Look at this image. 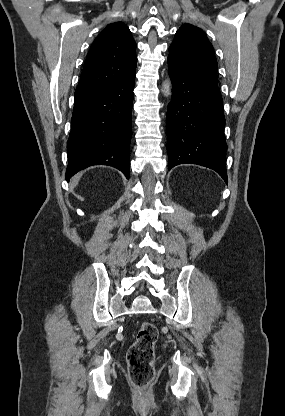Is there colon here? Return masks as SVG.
I'll use <instances>...</instances> for the list:
<instances>
[{"label":"colon","mask_w":285,"mask_h":416,"mask_svg":"<svg viewBox=\"0 0 285 416\" xmlns=\"http://www.w3.org/2000/svg\"><path fill=\"white\" fill-rule=\"evenodd\" d=\"M158 330L151 322H142L136 340L127 353V363L131 383L140 391L139 402L147 405L150 402L148 389L155 378L154 358Z\"/></svg>","instance_id":"obj_1"}]
</instances>
